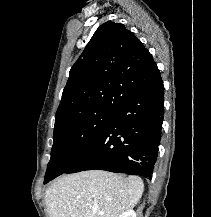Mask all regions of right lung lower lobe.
<instances>
[{
  "label": "right lung lower lobe",
  "mask_w": 211,
  "mask_h": 217,
  "mask_svg": "<svg viewBox=\"0 0 211 217\" xmlns=\"http://www.w3.org/2000/svg\"><path fill=\"white\" fill-rule=\"evenodd\" d=\"M163 95L162 79L132 95L97 142L64 173L98 169L151 179L161 138Z\"/></svg>",
  "instance_id": "1"
}]
</instances>
